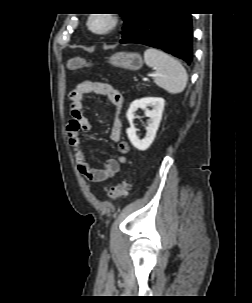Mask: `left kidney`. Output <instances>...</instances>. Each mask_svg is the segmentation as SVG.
I'll use <instances>...</instances> for the list:
<instances>
[{"label":"left kidney","mask_w":252,"mask_h":303,"mask_svg":"<svg viewBox=\"0 0 252 303\" xmlns=\"http://www.w3.org/2000/svg\"><path fill=\"white\" fill-rule=\"evenodd\" d=\"M165 100L160 97H145L134 100L126 113V117L130 123V127L126 130L128 138L132 145L140 151H145L149 148L155 139L156 132L159 128L160 121L162 119V113L164 110ZM151 106L152 110L147 107ZM142 108L145 110V116L149 118L146 127V136L143 139H139L136 134V128L134 127V113Z\"/></svg>","instance_id":"1"}]
</instances>
